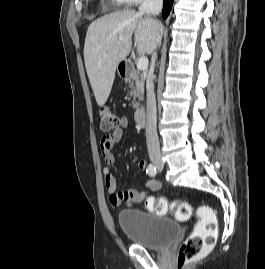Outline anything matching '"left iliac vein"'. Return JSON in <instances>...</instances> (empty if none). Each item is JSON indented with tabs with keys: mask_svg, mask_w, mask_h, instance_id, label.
Returning a JSON list of instances; mask_svg holds the SVG:
<instances>
[{
	"mask_svg": "<svg viewBox=\"0 0 265 269\" xmlns=\"http://www.w3.org/2000/svg\"><path fill=\"white\" fill-rule=\"evenodd\" d=\"M158 170L161 171L162 170V167H158Z\"/></svg>",
	"mask_w": 265,
	"mask_h": 269,
	"instance_id": "obj_1",
	"label": "left iliac vein"
}]
</instances>
